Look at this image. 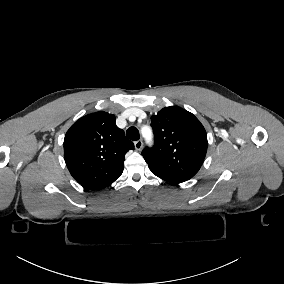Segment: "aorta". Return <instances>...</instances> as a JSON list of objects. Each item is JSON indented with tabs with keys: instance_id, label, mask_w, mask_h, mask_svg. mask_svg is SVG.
<instances>
[{
	"instance_id": "762f6f07",
	"label": "aorta",
	"mask_w": 284,
	"mask_h": 284,
	"mask_svg": "<svg viewBox=\"0 0 284 284\" xmlns=\"http://www.w3.org/2000/svg\"><path fill=\"white\" fill-rule=\"evenodd\" d=\"M148 131V135L147 134H145V132H147ZM143 135L144 136H146V140L147 141H150L151 140V130L149 129V128H147V127H145L144 129H143Z\"/></svg>"
}]
</instances>
